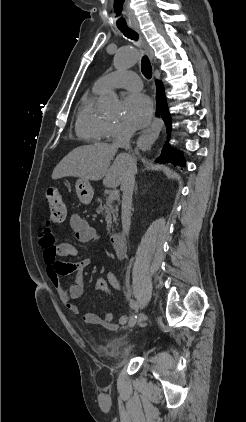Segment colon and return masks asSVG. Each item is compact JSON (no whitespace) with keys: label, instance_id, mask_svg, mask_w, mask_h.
Returning a JSON list of instances; mask_svg holds the SVG:
<instances>
[{"label":"colon","instance_id":"obj_1","mask_svg":"<svg viewBox=\"0 0 246 422\" xmlns=\"http://www.w3.org/2000/svg\"><path fill=\"white\" fill-rule=\"evenodd\" d=\"M46 201L49 205L50 220L53 223H60L65 218V206L63 194L57 188L50 187L46 193Z\"/></svg>","mask_w":246,"mask_h":422}]
</instances>
